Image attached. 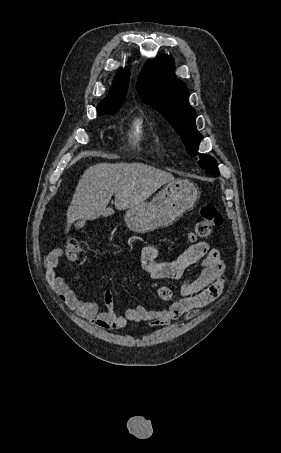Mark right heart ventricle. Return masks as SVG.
Returning <instances> with one entry per match:
<instances>
[{"label": "right heart ventricle", "instance_id": "e07e8e85", "mask_svg": "<svg viewBox=\"0 0 281 453\" xmlns=\"http://www.w3.org/2000/svg\"><path fill=\"white\" fill-rule=\"evenodd\" d=\"M131 134L140 144L150 145L157 141L154 135L150 132L146 120L141 116H137L132 120Z\"/></svg>", "mask_w": 281, "mask_h": 453}]
</instances>
